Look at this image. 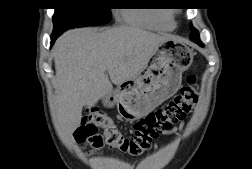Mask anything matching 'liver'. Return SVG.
<instances>
[{"mask_svg":"<svg viewBox=\"0 0 252 169\" xmlns=\"http://www.w3.org/2000/svg\"><path fill=\"white\" fill-rule=\"evenodd\" d=\"M169 34L120 26L65 32L54 45L55 93L60 130L70 136L80 126L83 107H93L114 85L136 77Z\"/></svg>","mask_w":252,"mask_h":169,"instance_id":"6515ba94","label":"liver"}]
</instances>
